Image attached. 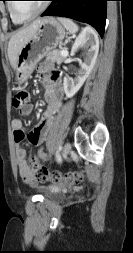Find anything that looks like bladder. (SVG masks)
<instances>
[{
    "label": "bladder",
    "instance_id": "bladder-1",
    "mask_svg": "<svg viewBox=\"0 0 133 253\" xmlns=\"http://www.w3.org/2000/svg\"><path fill=\"white\" fill-rule=\"evenodd\" d=\"M42 195L52 201H57L63 198L64 194L62 191L54 188H44L41 190Z\"/></svg>",
    "mask_w": 133,
    "mask_h": 253
}]
</instances>
